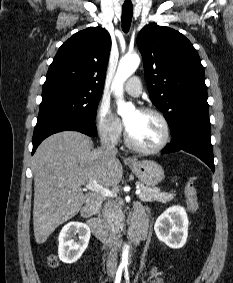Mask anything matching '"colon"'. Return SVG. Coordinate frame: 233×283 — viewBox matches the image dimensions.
I'll use <instances>...</instances> for the list:
<instances>
[{
    "label": "colon",
    "mask_w": 233,
    "mask_h": 283,
    "mask_svg": "<svg viewBox=\"0 0 233 283\" xmlns=\"http://www.w3.org/2000/svg\"><path fill=\"white\" fill-rule=\"evenodd\" d=\"M184 194H185L186 202H187L189 209L192 212H196L198 210L199 203H198L197 190L192 181H188L185 183ZM49 262H50V265L52 266L57 264V260L54 256L50 257Z\"/></svg>",
    "instance_id": "colon-1"
}]
</instances>
